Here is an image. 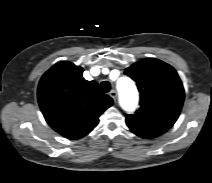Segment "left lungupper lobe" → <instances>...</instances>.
Instances as JSON below:
<instances>
[{
  "instance_id": "1",
  "label": "left lung upper lobe",
  "mask_w": 212,
  "mask_h": 183,
  "mask_svg": "<svg viewBox=\"0 0 212 183\" xmlns=\"http://www.w3.org/2000/svg\"><path fill=\"white\" fill-rule=\"evenodd\" d=\"M125 74L137 82L141 97L135 114H126L130 130L147 139L169 130L184 100V88L174 68L161 60L147 58L127 68Z\"/></svg>"
}]
</instances>
